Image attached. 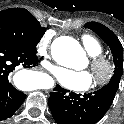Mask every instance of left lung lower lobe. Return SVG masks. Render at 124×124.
Returning a JSON list of instances; mask_svg holds the SVG:
<instances>
[{
	"instance_id": "obj_1",
	"label": "left lung lower lobe",
	"mask_w": 124,
	"mask_h": 124,
	"mask_svg": "<svg viewBox=\"0 0 124 124\" xmlns=\"http://www.w3.org/2000/svg\"><path fill=\"white\" fill-rule=\"evenodd\" d=\"M116 91L105 85L81 95L57 85L50 93L49 107L57 124H95L110 108Z\"/></svg>"
}]
</instances>
